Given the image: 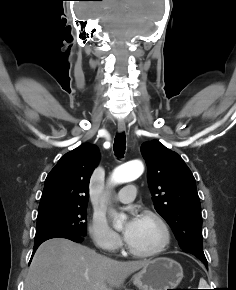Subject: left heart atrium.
<instances>
[{
  "label": "left heart atrium",
  "instance_id": "39dd6f15",
  "mask_svg": "<svg viewBox=\"0 0 236 290\" xmlns=\"http://www.w3.org/2000/svg\"><path fill=\"white\" fill-rule=\"evenodd\" d=\"M139 222L140 217L137 216L136 214H132L126 221L123 229V236L127 242H129L133 238L135 231L139 225Z\"/></svg>",
  "mask_w": 236,
  "mask_h": 290
}]
</instances>
